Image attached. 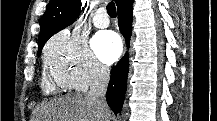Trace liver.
Returning a JSON list of instances; mask_svg holds the SVG:
<instances>
[{
	"label": "liver",
	"instance_id": "obj_1",
	"mask_svg": "<svg viewBox=\"0 0 217 121\" xmlns=\"http://www.w3.org/2000/svg\"><path fill=\"white\" fill-rule=\"evenodd\" d=\"M35 119V121H110V111L106 106L101 115L96 101L87 95H74L37 107Z\"/></svg>",
	"mask_w": 217,
	"mask_h": 121
}]
</instances>
